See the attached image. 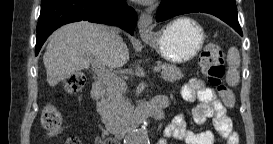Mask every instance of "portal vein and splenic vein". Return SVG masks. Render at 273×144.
<instances>
[{
	"label": "portal vein and splenic vein",
	"mask_w": 273,
	"mask_h": 144,
	"mask_svg": "<svg viewBox=\"0 0 273 144\" xmlns=\"http://www.w3.org/2000/svg\"><path fill=\"white\" fill-rule=\"evenodd\" d=\"M97 69L96 74L98 75V77L104 82L106 83L107 86L109 87H120L122 89H126V83L121 80L119 77H117L116 75L110 73L108 70H106L105 68L97 65L96 66ZM160 67H154L153 71L154 73H158L160 71Z\"/></svg>",
	"instance_id": "obj_1"
}]
</instances>
